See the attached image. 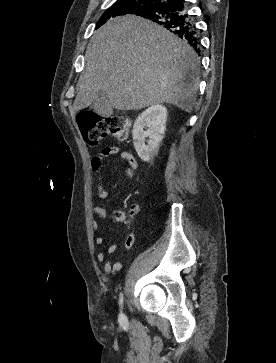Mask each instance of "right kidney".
Returning <instances> with one entry per match:
<instances>
[{
  "mask_svg": "<svg viewBox=\"0 0 276 363\" xmlns=\"http://www.w3.org/2000/svg\"><path fill=\"white\" fill-rule=\"evenodd\" d=\"M166 121L167 109L159 104L149 107L137 117L132 130L133 143L142 161L149 162L158 153ZM147 137L149 140L146 144Z\"/></svg>",
  "mask_w": 276,
  "mask_h": 363,
  "instance_id": "obj_1",
  "label": "right kidney"
}]
</instances>
